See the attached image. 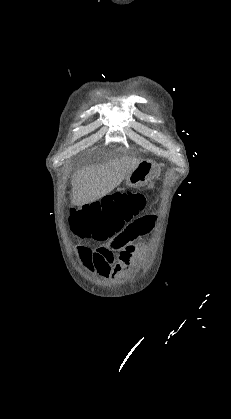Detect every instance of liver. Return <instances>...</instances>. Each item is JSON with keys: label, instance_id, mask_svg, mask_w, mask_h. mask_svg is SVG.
<instances>
[{"label": "liver", "instance_id": "6515ba94", "mask_svg": "<svg viewBox=\"0 0 231 419\" xmlns=\"http://www.w3.org/2000/svg\"><path fill=\"white\" fill-rule=\"evenodd\" d=\"M140 162L135 157H124L78 170L71 182V203L82 206L99 200L119 186Z\"/></svg>", "mask_w": 231, "mask_h": 419}]
</instances>
